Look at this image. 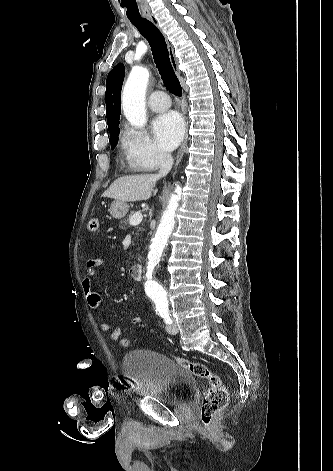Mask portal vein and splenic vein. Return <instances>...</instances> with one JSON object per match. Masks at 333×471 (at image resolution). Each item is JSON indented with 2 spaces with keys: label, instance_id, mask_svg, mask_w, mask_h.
I'll use <instances>...</instances> for the list:
<instances>
[{
  "label": "portal vein and splenic vein",
  "instance_id": "18ae733b",
  "mask_svg": "<svg viewBox=\"0 0 333 471\" xmlns=\"http://www.w3.org/2000/svg\"><path fill=\"white\" fill-rule=\"evenodd\" d=\"M142 219H143L142 214L140 212H137L131 216L129 223L131 225H138L141 223Z\"/></svg>",
  "mask_w": 333,
  "mask_h": 471
}]
</instances>
